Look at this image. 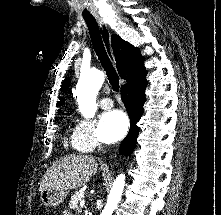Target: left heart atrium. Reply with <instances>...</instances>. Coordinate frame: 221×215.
Masks as SVG:
<instances>
[{"label":"left heart atrium","mask_w":221,"mask_h":215,"mask_svg":"<svg viewBox=\"0 0 221 215\" xmlns=\"http://www.w3.org/2000/svg\"><path fill=\"white\" fill-rule=\"evenodd\" d=\"M129 127V121L124 112L112 110L106 112L99 121V133L106 142H115L120 140Z\"/></svg>","instance_id":"obj_1"}]
</instances>
